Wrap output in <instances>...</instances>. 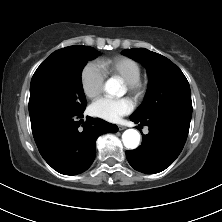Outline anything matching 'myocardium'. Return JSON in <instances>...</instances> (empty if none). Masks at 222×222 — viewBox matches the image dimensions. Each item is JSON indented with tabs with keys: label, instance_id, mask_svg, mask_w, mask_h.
<instances>
[{
	"label": "myocardium",
	"instance_id": "obj_1",
	"mask_svg": "<svg viewBox=\"0 0 222 222\" xmlns=\"http://www.w3.org/2000/svg\"><path fill=\"white\" fill-rule=\"evenodd\" d=\"M126 89L128 93L134 98L135 101H141L147 90L146 83L141 80H135L132 82H125Z\"/></svg>",
	"mask_w": 222,
	"mask_h": 222
}]
</instances>
